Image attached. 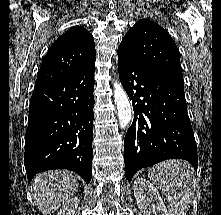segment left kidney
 Segmentation results:
<instances>
[{
    "label": "left kidney",
    "mask_w": 221,
    "mask_h": 215,
    "mask_svg": "<svg viewBox=\"0 0 221 215\" xmlns=\"http://www.w3.org/2000/svg\"><path fill=\"white\" fill-rule=\"evenodd\" d=\"M134 196L143 215H170L157 188L145 178L135 179Z\"/></svg>",
    "instance_id": "obj_1"
}]
</instances>
